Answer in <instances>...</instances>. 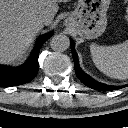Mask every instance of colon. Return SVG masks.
I'll return each mask as SVG.
<instances>
[{"label": "colon", "mask_w": 128, "mask_h": 128, "mask_svg": "<svg viewBox=\"0 0 128 128\" xmlns=\"http://www.w3.org/2000/svg\"><path fill=\"white\" fill-rule=\"evenodd\" d=\"M125 20L128 22V0H125Z\"/></svg>", "instance_id": "obj_1"}]
</instances>
